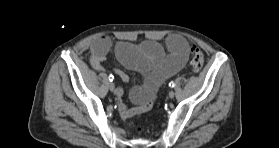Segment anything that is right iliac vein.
Masks as SVG:
<instances>
[{"label":"right iliac vein","instance_id":"63e3f726","mask_svg":"<svg viewBox=\"0 0 279 148\" xmlns=\"http://www.w3.org/2000/svg\"><path fill=\"white\" fill-rule=\"evenodd\" d=\"M108 86L111 91H115V84L113 82H109Z\"/></svg>","mask_w":279,"mask_h":148}]
</instances>
